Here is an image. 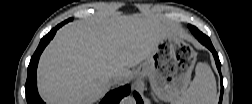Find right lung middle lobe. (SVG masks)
<instances>
[{"label": "right lung middle lobe", "instance_id": "right-lung-middle-lobe-1", "mask_svg": "<svg viewBox=\"0 0 252 104\" xmlns=\"http://www.w3.org/2000/svg\"><path fill=\"white\" fill-rule=\"evenodd\" d=\"M72 19L70 18V19H68V20H66V21H64L65 23H67V22H69V21H71Z\"/></svg>", "mask_w": 252, "mask_h": 104}]
</instances>
